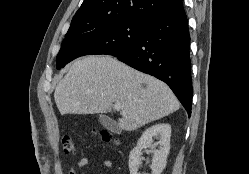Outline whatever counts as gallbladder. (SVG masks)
<instances>
[{
  "instance_id": "bac80fb5",
  "label": "gallbladder",
  "mask_w": 249,
  "mask_h": 174,
  "mask_svg": "<svg viewBox=\"0 0 249 174\" xmlns=\"http://www.w3.org/2000/svg\"><path fill=\"white\" fill-rule=\"evenodd\" d=\"M99 120H100V123L103 126H105L107 129H109V130H111L113 132L120 131V127L118 126V124L113 119H111L110 117L105 116V115H101L99 117Z\"/></svg>"
}]
</instances>
